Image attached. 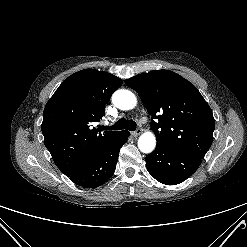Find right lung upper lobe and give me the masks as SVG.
<instances>
[{
	"mask_svg": "<svg viewBox=\"0 0 247 247\" xmlns=\"http://www.w3.org/2000/svg\"><path fill=\"white\" fill-rule=\"evenodd\" d=\"M122 80L110 73L84 69L61 83L47 102L41 126L44 143L57 167L70 176L120 132L92 128Z\"/></svg>",
	"mask_w": 247,
	"mask_h": 247,
	"instance_id": "right-lung-upper-lobe-1",
	"label": "right lung upper lobe"
}]
</instances>
